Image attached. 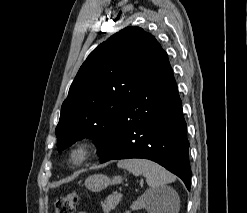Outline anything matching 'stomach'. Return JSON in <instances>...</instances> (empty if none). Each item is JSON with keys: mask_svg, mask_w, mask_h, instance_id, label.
I'll use <instances>...</instances> for the list:
<instances>
[{"mask_svg": "<svg viewBox=\"0 0 247 213\" xmlns=\"http://www.w3.org/2000/svg\"><path fill=\"white\" fill-rule=\"evenodd\" d=\"M121 182H122L121 176H115L113 178H109L108 176L103 174H94L89 176L85 180L84 184L88 190L92 192H100L111 184H119Z\"/></svg>", "mask_w": 247, "mask_h": 213, "instance_id": "stomach-1", "label": "stomach"}]
</instances>
